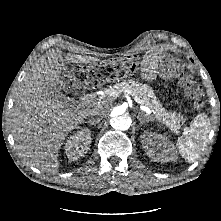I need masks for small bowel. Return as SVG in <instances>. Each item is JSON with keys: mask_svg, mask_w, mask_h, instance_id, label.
Returning <instances> with one entry per match:
<instances>
[{"mask_svg": "<svg viewBox=\"0 0 221 221\" xmlns=\"http://www.w3.org/2000/svg\"><path fill=\"white\" fill-rule=\"evenodd\" d=\"M142 76L146 80H153L155 78V62L152 58H145Z\"/></svg>", "mask_w": 221, "mask_h": 221, "instance_id": "small-bowel-1", "label": "small bowel"}]
</instances>
